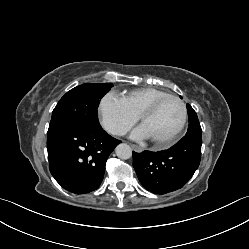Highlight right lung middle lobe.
I'll return each mask as SVG.
<instances>
[{"mask_svg": "<svg viewBox=\"0 0 249 249\" xmlns=\"http://www.w3.org/2000/svg\"><path fill=\"white\" fill-rule=\"evenodd\" d=\"M112 86L111 83H87L68 91L52 112L47 136L79 126H100L97 108Z\"/></svg>", "mask_w": 249, "mask_h": 249, "instance_id": "dd1d6c3e", "label": "right lung middle lobe"}]
</instances>
